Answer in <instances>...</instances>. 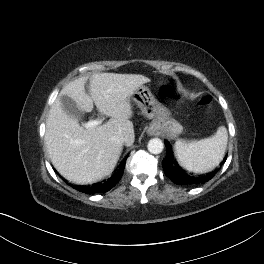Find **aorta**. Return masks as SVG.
<instances>
[{
	"mask_svg": "<svg viewBox=\"0 0 264 264\" xmlns=\"http://www.w3.org/2000/svg\"><path fill=\"white\" fill-rule=\"evenodd\" d=\"M147 148L150 153L159 154L164 149V143L159 138H153L149 140Z\"/></svg>",
	"mask_w": 264,
	"mask_h": 264,
	"instance_id": "762f6f07",
	"label": "aorta"
}]
</instances>
